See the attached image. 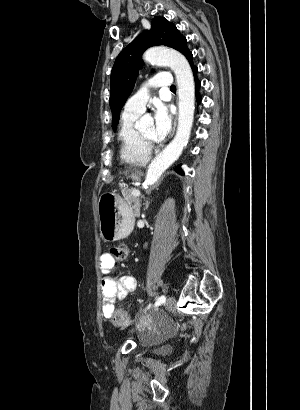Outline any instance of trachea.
Masks as SVG:
<instances>
[{"instance_id": "3493384b", "label": "trachea", "mask_w": 300, "mask_h": 410, "mask_svg": "<svg viewBox=\"0 0 300 410\" xmlns=\"http://www.w3.org/2000/svg\"><path fill=\"white\" fill-rule=\"evenodd\" d=\"M170 89H171L172 91H175V90H176L175 85H171Z\"/></svg>"}]
</instances>
